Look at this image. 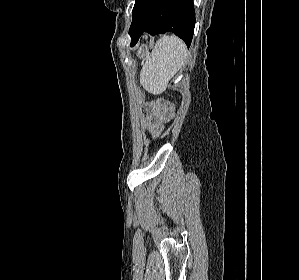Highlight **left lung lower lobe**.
I'll use <instances>...</instances> for the list:
<instances>
[{
    "instance_id": "obj_1",
    "label": "left lung lower lobe",
    "mask_w": 299,
    "mask_h": 280,
    "mask_svg": "<svg viewBox=\"0 0 299 280\" xmlns=\"http://www.w3.org/2000/svg\"><path fill=\"white\" fill-rule=\"evenodd\" d=\"M195 26L193 0H136L129 34L131 46L143 32L151 35L172 31L189 47Z\"/></svg>"
}]
</instances>
